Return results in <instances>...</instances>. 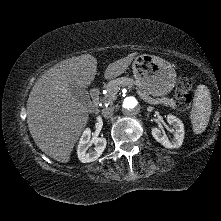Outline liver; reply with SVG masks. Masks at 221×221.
Listing matches in <instances>:
<instances>
[{
	"mask_svg": "<svg viewBox=\"0 0 221 221\" xmlns=\"http://www.w3.org/2000/svg\"><path fill=\"white\" fill-rule=\"evenodd\" d=\"M137 53L108 65L107 80L123 74ZM97 73V60L83 54L60 62L34 84L27 101V123L36 145L49 157L67 163L89 119V110L71 91V85L86 89Z\"/></svg>",
	"mask_w": 221,
	"mask_h": 221,
	"instance_id": "1",
	"label": "liver"
}]
</instances>
